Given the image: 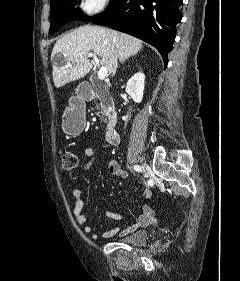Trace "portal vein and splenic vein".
I'll return each mask as SVG.
<instances>
[{
    "mask_svg": "<svg viewBox=\"0 0 240 281\" xmlns=\"http://www.w3.org/2000/svg\"><path fill=\"white\" fill-rule=\"evenodd\" d=\"M87 57L93 58L95 64L99 67V60L96 55H94L93 53H88ZM69 66H71V65H69ZM107 73H108V70L106 67H100L98 70V78L100 80H104L107 76Z\"/></svg>",
    "mask_w": 240,
    "mask_h": 281,
    "instance_id": "18ae733b",
    "label": "portal vein and splenic vein"
}]
</instances>
